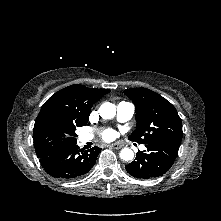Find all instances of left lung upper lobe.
<instances>
[{"mask_svg":"<svg viewBox=\"0 0 221 221\" xmlns=\"http://www.w3.org/2000/svg\"><path fill=\"white\" fill-rule=\"evenodd\" d=\"M124 93L134 102L136 109V130L129 140L145 145L162 142L180 146L182 123L169 101L146 88L127 89Z\"/></svg>","mask_w":221,"mask_h":221,"instance_id":"obj_1","label":"left lung upper lobe"}]
</instances>
